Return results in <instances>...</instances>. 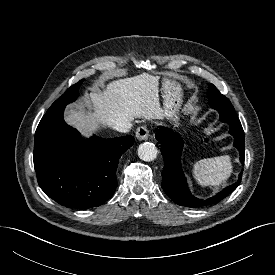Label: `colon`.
Returning a JSON list of instances; mask_svg holds the SVG:
<instances>
[{
  "mask_svg": "<svg viewBox=\"0 0 275 275\" xmlns=\"http://www.w3.org/2000/svg\"><path fill=\"white\" fill-rule=\"evenodd\" d=\"M205 143H206L207 145H212V140L209 139V138H206V139H205Z\"/></svg>",
  "mask_w": 275,
  "mask_h": 275,
  "instance_id": "colon-1",
  "label": "colon"
}]
</instances>
